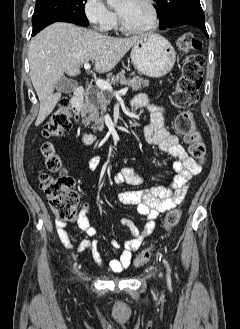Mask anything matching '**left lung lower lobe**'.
<instances>
[{
    "mask_svg": "<svg viewBox=\"0 0 240 329\" xmlns=\"http://www.w3.org/2000/svg\"><path fill=\"white\" fill-rule=\"evenodd\" d=\"M185 24H193L202 29V31L205 33V35L208 37L206 27H205V21H199V20H179L171 23L169 26L166 28H171V27H176V26H181Z\"/></svg>",
    "mask_w": 240,
    "mask_h": 329,
    "instance_id": "obj_1",
    "label": "left lung lower lobe"
}]
</instances>
